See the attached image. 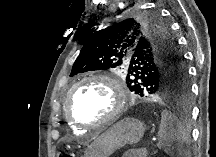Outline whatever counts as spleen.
<instances>
[{
    "label": "spleen",
    "instance_id": "1",
    "mask_svg": "<svg viewBox=\"0 0 216 157\" xmlns=\"http://www.w3.org/2000/svg\"><path fill=\"white\" fill-rule=\"evenodd\" d=\"M157 137L160 145L168 154L189 155L190 134L182 122L166 109L161 113Z\"/></svg>",
    "mask_w": 216,
    "mask_h": 157
}]
</instances>
